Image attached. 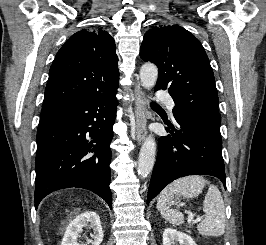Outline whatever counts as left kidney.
<instances>
[{
  "mask_svg": "<svg viewBox=\"0 0 266 245\" xmlns=\"http://www.w3.org/2000/svg\"><path fill=\"white\" fill-rule=\"evenodd\" d=\"M196 245L195 241L189 237V235H185V233H180V231H176V229H164L163 233V245Z\"/></svg>",
  "mask_w": 266,
  "mask_h": 245,
  "instance_id": "1",
  "label": "left kidney"
}]
</instances>
